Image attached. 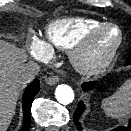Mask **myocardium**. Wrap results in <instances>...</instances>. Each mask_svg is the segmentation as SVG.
Masks as SVG:
<instances>
[{
	"label": "myocardium",
	"instance_id": "myocardium-1",
	"mask_svg": "<svg viewBox=\"0 0 131 131\" xmlns=\"http://www.w3.org/2000/svg\"><path fill=\"white\" fill-rule=\"evenodd\" d=\"M115 28L118 31V39L111 51L101 59L91 60L88 53L96 38L106 29ZM124 41V34L119 25L112 22H104L85 34L69 52L73 67L84 75H94L106 70L116 59Z\"/></svg>",
	"mask_w": 131,
	"mask_h": 131
}]
</instances>
